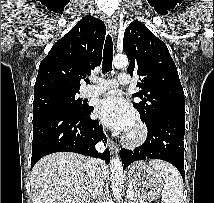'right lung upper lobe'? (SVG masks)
Listing matches in <instances>:
<instances>
[{"label": "right lung upper lobe", "mask_w": 214, "mask_h": 203, "mask_svg": "<svg viewBox=\"0 0 214 203\" xmlns=\"http://www.w3.org/2000/svg\"><path fill=\"white\" fill-rule=\"evenodd\" d=\"M105 24L83 17L41 61L34 98L52 93H79L80 81L101 63Z\"/></svg>", "instance_id": "cb5924a9"}]
</instances>
